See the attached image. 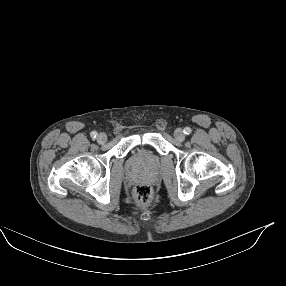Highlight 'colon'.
I'll return each mask as SVG.
<instances>
[{
	"mask_svg": "<svg viewBox=\"0 0 286 286\" xmlns=\"http://www.w3.org/2000/svg\"><path fill=\"white\" fill-rule=\"evenodd\" d=\"M134 198L138 205H148L152 199V190L149 185L140 183L135 186Z\"/></svg>",
	"mask_w": 286,
	"mask_h": 286,
	"instance_id": "obj_1",
	"label": "colon"
}]
</instances>
